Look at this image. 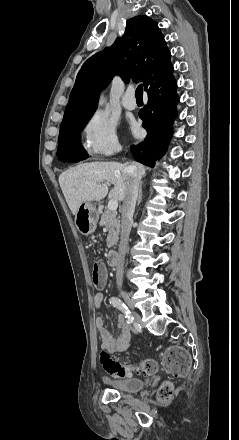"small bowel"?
I'll return each instance as SVG.
<instances>
[{
  "label": "small bowel",
  "instance_id": "small-bowel-1",
  "mask_svg": "<svg viewBox=\"0 0 239 440\" xmlns=\"http://www.w3.org/2000/svg\"><path fill=\"white\" fill-rule=\"evenodd\" d=\"M103 293L96 292L94 295V304L99 308L103 301ZM127 319L123 315L117 317V325L119 328V334L114 337L108 333L105 328L104 318L97 317L95 320V326L97 329V335L101 343V347L108 353L122 352L129 346L130 331Z\"/></svg>",
  "mask_w": 239,
  "mask_h": 440
}]
</instances>
